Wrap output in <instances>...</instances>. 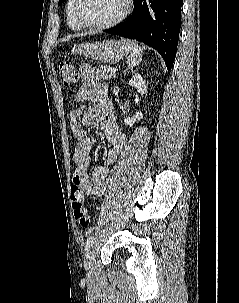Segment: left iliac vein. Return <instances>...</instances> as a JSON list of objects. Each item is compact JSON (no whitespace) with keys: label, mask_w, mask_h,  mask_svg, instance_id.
I'll use <instances>...</instances> for the list:
<instances>
[{"label":"left iliac vein","mask_w":239,"mask_h":303,"mask_svg":"<svg viewBox=\"0 0 239 303\" xmlns=\"http://www.w3.org/2000/svg\"><path fill=\"white\" fill-rule=\"evenodd\" d=\"M94 257H95V253L93 249L89 250L86 253L84 258V264L86 268H91L93 266Z\"/></svg>","instance_id":"4c4485c4"}]
</instances>
